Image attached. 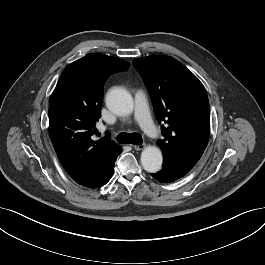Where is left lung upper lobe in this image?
<instances>
[{"label": "left lung upper lobe", "instance_id": "obj_1", "mask_svg": "<svg viewBox=\"0 0 265 265\" xmlns=\"http://www.w3.org/2000/svg\"><path fill=\"white\" fill-rule=\"evenodd\" d=\"M150 93L162 125V171L175 179L185 176L201 158L210 135L206 90L184 65L169 56L133 60Z\"/></svg>", "mask_w": 265, "mask_h": 265}]
</instances>
